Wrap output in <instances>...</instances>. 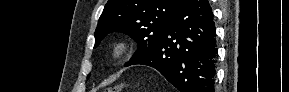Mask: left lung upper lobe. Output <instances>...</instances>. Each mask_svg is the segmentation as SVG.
<instances>
[{
  "label": "left lung upper lobe",
  "mask_w": 289,
  "mask_h": 92,
  "mask_svg": "<svg viewBox=\"0 0 289 92\" xmlns=\"http://www.w3.org/2000/svg\"><path fill=\"white\" fill-rule=\"evenodd\" d=\"M185 0H108L94 34L96 48L110 32L130 35L138 49L132 63L152 52Z\"/></svg>",
  "instance_id": "obj_1"
}]
</instances>
